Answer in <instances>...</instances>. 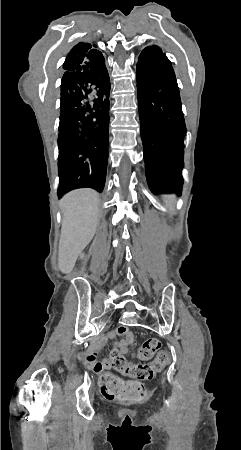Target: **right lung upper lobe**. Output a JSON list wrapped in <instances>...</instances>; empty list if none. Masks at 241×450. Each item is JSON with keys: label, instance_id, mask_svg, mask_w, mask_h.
<instances>
[{"label": "right lung upper lobe", "instance_id": "cb5924a9", "mask_svg": "<svg viewBox=\"0 0 241 450\" xmlns=\"http://www.w3.org/2000/svg\"><path fill=\"white\" fill-rule=\"evenodd\" d=\"M103 61L104 57L95 44L80 42L70 50L63 64V69L75 71L82 67L98 65Z\"/></svg>", "mask_w": 241, "mask_h": 450}]
</instances>
